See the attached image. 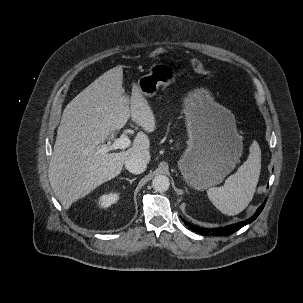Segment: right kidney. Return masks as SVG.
<instances>
[{
    "label": "right kidney",
    "instance_id": "obj_1",
    "mask_svg": "<svg viewBox=\"0 0 303 303\" xmlns=\"http://www.w3.org/2000/svg\"><path fill=\"white\" fill-rule=\"evenodd\" d=\"M118 199H119V194L116 192L103 194L98 198V205L102 208H107L110 207L112 204L116 203Z\"/></svg>",
    "mask_w": 303,
    "mask_h": 303
}]
</instances>
